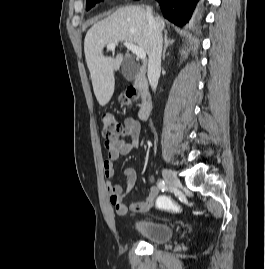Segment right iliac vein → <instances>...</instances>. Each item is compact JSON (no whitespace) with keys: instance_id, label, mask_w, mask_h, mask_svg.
Here are the masks:
<instances>
[{"instance_id":"63e3f726","label":"right iliac vein","mask_w":265,"mask_h":269,"mask_svg":"<svg viewBox=\"0 0 265 269\" xmlns=\"http://www.w3.org/2000/svg\"><path fill=\"white\" fill-rule=\"evenodd\" d=\"M162 174H163L164 180L166 181L168 185L174 186V187L180 186V180L173 171L169 169H163Z\"/></svg>"}]
</instances>
